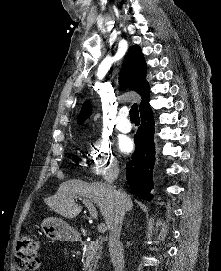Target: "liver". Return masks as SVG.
Listing matches in <instances>:
<instances>
[{
  "mask_svg": "<svg viewBox=\"0 0 221 271\" xmlns=\"http://www.w3.org/2000/svg\"><path fill=\"white\" fill-rule=\"evenodd\" d=\"M118 191L115 187H109L101 181H93V183H86L82 179H70V181H64L61 183L57 193L55 195H50L46 197L45 201L53 211H57L60 215L64 217H76L82 211V205L75 203V195H83V197H92L95 203H97L108 227L112 215L113 209L116 201V193ZM122 193V191H121ZM124 197V205L126 211L133 209V201L127 193Z\"/></svg>",
  "mask_w": 221,
  "mask_h": 271,
  "instance_id": "1",
  "label": "liver"
}]
</instances>
